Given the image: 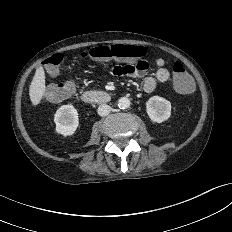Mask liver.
Instances as JSON below:
<instances>
[{"mask_svg": "<svg viewBox=\"0 0 232 232\" xmlns=\"http://www.w3.org/2000/svg\"><path fill=\"white\" fill-rule=\"evenodd\" d=\"M46 90L45 86V72L42 66L36 69L33 80L29 88V96L34 106L38 105L41 101Z\"/></svg>", "mask_w": 232, "mask_h": 232, "instance_id": "1", "label": "liver"}]
</instances>
